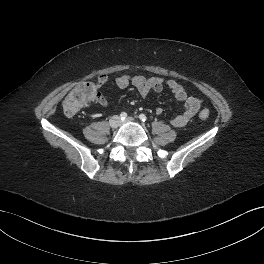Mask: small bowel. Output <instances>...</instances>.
Returning a JSON list of instances; mask_svg holds the SVG:
<instances>
[{"label":"small bowel","mask_w":264,"mask_h":264,"mask_svg":"<svg viewBox=\"0 0 264 264\" xmlns=\"http://www.w3.org/2000/svg\"><path fill=\"white\" fill-rule=\"evenodd\" d=\"M108 81L109 78L107 75H100L96 84L97 94L94 100L103 107H106L108 102L99 91V88L106 85ZM115 84L121 89L131 85L135 87L143 97L147 96L150 92L159 93L164 88H167L174 95L176 100L184 102L183 112L171 119V125L175 128L184 127L202 107V101L194 96L188 95L183 86L175 80H165L163 77L147 78L139 75H120L115 79ZM155 113L160 115L163 113V109L157 107Z\"/></svg>","instance_id":"small-bowel-1"}]
</instances>
